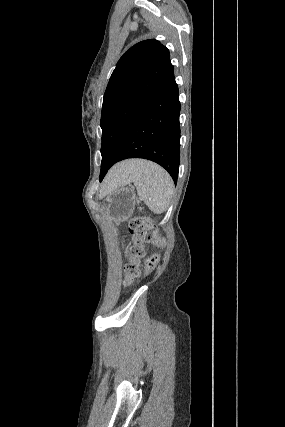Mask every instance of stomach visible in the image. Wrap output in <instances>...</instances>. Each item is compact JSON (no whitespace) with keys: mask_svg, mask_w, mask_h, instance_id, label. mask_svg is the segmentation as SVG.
I'll return each mask as SVG.
<instances>
[{"mask_svg":"<svg viewBox=\"0 0 285 427\" xmlns=\"http://www.w3.org/2000/svg\"><path fill=\"white\" fill-rule=\"evenodd\" d=\"M136 195L133 188L119 186L109 191L102 200L106 216L113 222H123L133 213Z\"/></svg>","mask_w":285,"mask_h":427,"instance_id":"stomach-1","label":"stomach"}]
</instances>
